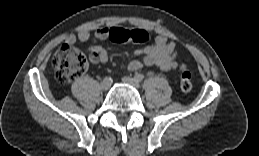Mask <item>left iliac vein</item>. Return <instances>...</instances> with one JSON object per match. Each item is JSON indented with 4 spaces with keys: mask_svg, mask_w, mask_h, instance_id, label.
<instances>
[{
    "mask_svg": "<svg viewBox=\"0 0 259 156\" xmlns=\"http://www.w3.org/2000/svg\"><path fill=\"white\" fill-rule=\"evenodd\" d=\"M123 82L124 83H127L135 88H139L140 87V84L139 82L135 79V78H131V77H123L122 78Z\"/></svg>",
    "mask_w": 259,
    "mask_h": 156,
    "instance_id": "4c4485c4",
    "label": "left iliac vein"
}]
</instances>
